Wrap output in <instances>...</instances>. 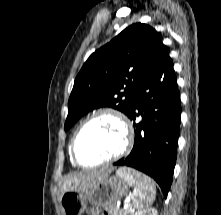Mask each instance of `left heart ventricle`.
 <instances>
[{
  "mask_svg": "<svg viewBox=\"0 0 221 215\" xmlns=\"http://www.w3.org/2000/svg\"><path fill=\"white\" fill-rule=\"evenodd\" d=\"M123 141L124 134L120 124L112 117L102 116L82 130L76 143V151L83 163H97L118 152Z\"/></svg>",
  "mask_w": 221,
  "mask_h": 215,
  "instance_id": "left-heart-ventricle-1",
  "label": "left heart ventricle"
}]
</instances>
